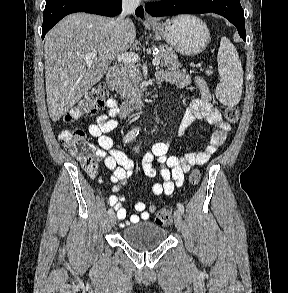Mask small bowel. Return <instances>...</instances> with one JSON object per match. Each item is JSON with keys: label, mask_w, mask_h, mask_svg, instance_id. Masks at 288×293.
<instances>
[{"label": "small bowel", "mask_w": 288, "mask_h": 293, "mask_svg": "<svg viewBox=\"0 0 288 293\" xmlns=\"http://www.w3.org/2000/svg\"><path fill=\"white\" fill-rule=\"evenodd\" d=\"M161 81L176 85L179 88L195 86L200 92V97L193 99L184 111L179 135L184 136L186 130L198 120H205L216 128L208 145L198 153L190 152L182 157L171 155L169 142L154 143L150 150L142 158V167L148 177L159 175L162 182L152 185L153 195H171L175 188L184 183L185 174L195 165L206 164L210 157L224 144L231 126L222 119L219 110L213 105V95L206 81L200 77H190L185 69L177 72L160 71L157 75ZM106 112L99 114L94 123L88 127L89 134L97 140V146H93L96 157L110 171V180L114 184L112 191L116 192L132 175L134 163L122 151L113 148V141L107 134L117 128L118 117H125L126 111L120 108L113 99L106 103ZM156 162L158 166L154 163ZM124 197L111 195L107 203L116 211L118 220L122 225L136 224L140 220H148L151 213L155 212V203L145 204L142 201L135 203L136 214H132L127 220V211L123 207ZM126 220V221H125Z\"/></svg>", "instance_id": "obj_1"}]
</instances>
